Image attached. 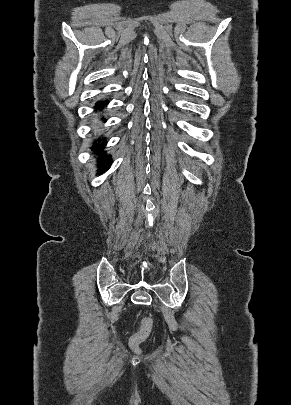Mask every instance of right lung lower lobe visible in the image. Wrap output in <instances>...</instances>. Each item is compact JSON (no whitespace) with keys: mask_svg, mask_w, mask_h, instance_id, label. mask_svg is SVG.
<instances>
[{"mask_svg":"<svg viewBox=\"0 0 291 405\" xmlns=\"http://www.w3.org/2000/svg\"><path fill=\"white\" fill-rule=\"evenodd\" d=\"M106 102H97L96 107H102V104H105ZM103 119V118H102ZM106 144V138H102V140H98L97 142L93 143L92 149L99 153L98 156V166L100 169L98 170L97 174H101L102 172H105L106 170L109 169L111 165V158L109 155L106 154L104 151V147Z\"/></svg>","mask_w":291,"mask_h":405,"instance_id":"right-lung-lower-lobe-1","label":"right lung lower lobe"}]
</instances>
